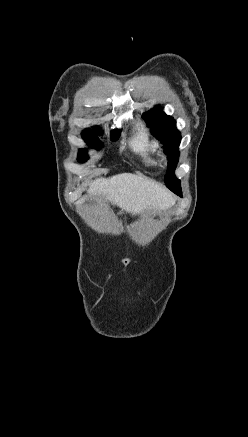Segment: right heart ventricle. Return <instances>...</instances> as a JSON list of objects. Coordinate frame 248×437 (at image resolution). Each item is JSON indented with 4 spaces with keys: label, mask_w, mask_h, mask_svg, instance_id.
Returning a JSON list of instances; mask_svg holds the SVG:
<instances>
[{
    "label": "right heart ventricle",
    "mask_w": 248,
    "mask_h": 437,
    "mask_svg": "<svg viewBox=\"0 0 248 437\" xmlns=\"http://www.w3.org/2000/svg\"><path fill=\"white\" fill-rule=\"evenodd\" d=\"M129 144L132 151L139 155L147 165L155 164L153 156L157 151L158 145L151 139L147 130L142 125L136 128V132Z\"/></svg>",
    "instance_id": "right-heart-ventricle-1"
}]
</instances>
